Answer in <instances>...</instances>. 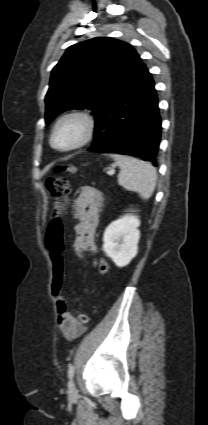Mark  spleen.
Here are the masks:
<instances>
[{"mask_svg":"<svg viewBox=\"0 0 208 425\" xmlns=\"http://www.w3.org/2000/svg\"><path fill=\"white\" fill-rule=\"evenodd\" d=\"M111 156L121 169L118 175L119 185L137 192L142 199L150 198L156 186V169L149 162L133 157L118 154Z\"/></svg>","mask_w":208,"mask_h":425,"instance_id":"spleen-1","label":"spleen"}]
</instances>
